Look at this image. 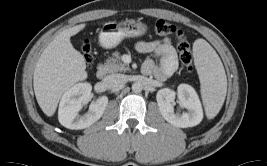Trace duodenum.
<instances>
[{"label": "duodenum", "mask_w": 267, "mask_h": 166, "mask_svg": "<svg viewBox=\"0 0 267 166\" xmlns=\"http://www.w3.org/2000/svg\"><path fill=\"white\" fill-rule=\"evenodd\" d=\"M105 74H106V69L104 67H100L96 71V77L99 80L103 79Z\"/></svg>", "instance_id": "obj_1"}]
</instances>
